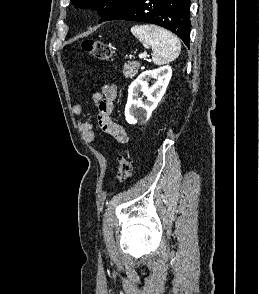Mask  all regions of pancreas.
<instances>
[{
    "instance_id": "cf45deb5",
    "label": "pancreas",
    "mask_w": 259,
    "mask_h": 294,
    "mask_svg": "<svg viewBox=\"0 0 259 294\" xmlns=\"http://www.w3.org/2000/svg\"><path fill=\"white\" fill-rule=\"evenodd\" d=\"M140 67L139 62L129 61L123 66V74L126 78H133L137 73Z\"/></svg>"
}]
</instances>
